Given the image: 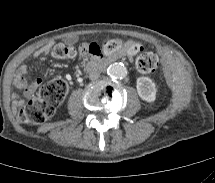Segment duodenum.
I'll use <instances>...</instances> for the list:
<instances>
[{"mask_svg": "<svg viewBox=\"0 0 215 183\" xmlns=\"http://www.w3.org/2000/svg\"><path fill=\"white\" fill-rule=\"evenodd\" d=\"M112 62H113L112 59L92 60L89 63H87V65L84 67V71L85 72L95 71V70H98V69H101V68L107 66L108 64H110Z\"/></svg>", "mask_w": 215, "mask_h": 183, "instance_id": "duodenum-1", "label": "duodenum"}]
</instances>
